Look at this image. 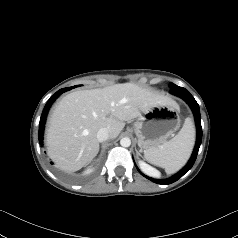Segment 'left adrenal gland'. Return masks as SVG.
<instances>
[{"label": "left adrenal gland", "mask_w": 238, "mask_h": 238, "mask_svg": "<svg viewBox=\"0 0 238 238\" xmlns=\"http://www.w3.org/2000/svg\"><path fill=\"white\" fill-rule=\"evenodd\" d=\"M136 153H137V155H138V156H140V157H141V154H140V152L136 151Z\"/></svg>", "instance_id": "left-adrenal-gland-1"}]
</instances>
